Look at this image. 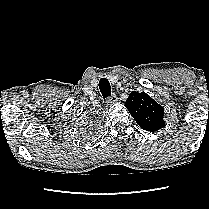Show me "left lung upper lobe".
<instances>
[{
    "label": "left lung upper lobe",
    "mask_w": 209,
    "mask_h": 209,
    "mask_svg": "<svg viewBox=\"0 0 209 209\" xmlns=\"http://www.w3.org/2000/svg\"><path fill=\"white\" fill-rule=\"evenodd\" d=\"M125 106L144 130L155 132L164 127V108L146 93H130Z\"/></svg>",
    "instance_id": "left-lung-upper-lobe-1"
}]
</instances>
